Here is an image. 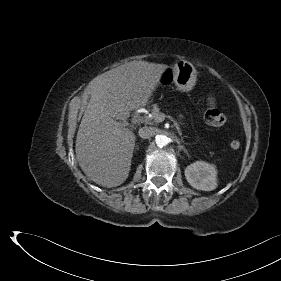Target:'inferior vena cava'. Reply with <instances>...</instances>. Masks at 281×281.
Segmentation results:
<instances>
[{
	"label": "inferior vena cava",
	"mask_w": 281,
	"mask_h": 281,
	"mask_svg": "<svg viewBox=\"0 0 281 281\" xmlns=\"http://www.w3.org/2000/svg\"><path fill=\"white\" fill-rule=\"evenodd\" d=\"M139 136L143 139H148L156 134V129L154 127H142L139 129Z\"/></svg>",
	"instance_id": "obj_1"
}]
</instances>
